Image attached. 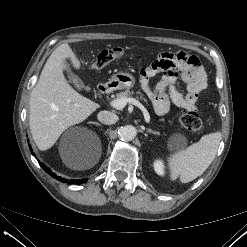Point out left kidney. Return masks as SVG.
Instances as JSON below:
<instances>
[{"label":"left kidney","mask_w":247,"mask_h":247,"mask_svg":"<svg viewBox=\"0 0 247 247\" xmlns=\"http://www.w3.org/2000/svg\"><path fill=\"white\" fill-rule=\"evenodd\" d=\"M155 172L163 176L165 174L164 164L161 160H156L153 164Z\"/></svg>","instance_id":"obj_1"}]
</instances>
